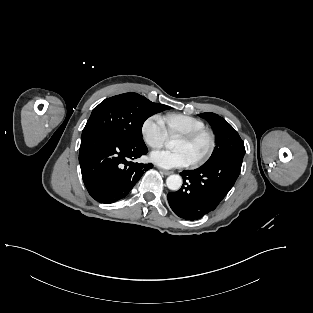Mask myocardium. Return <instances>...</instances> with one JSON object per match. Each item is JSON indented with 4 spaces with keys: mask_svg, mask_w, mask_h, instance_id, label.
<instances>
[{
    "mask_svg": "<svg viewBox=\"0 0 313 313\" xmlns=\"http://www.w3.org/2000/svg\"><path fill=\"white\" fill-rule=\"evenodd\" d=\"M204 136L208 138V141H209L208 148L201 156H199L197 159L191 162L192 167H197V166L202 165L213 154L215 147H216L215 135L211 130L204 128V129H200L191 133L182 134L179 136L180 139L189 143L194 142Z\"/></svg>",
    "mask_w": 313,
    "mask_h": 313,
    "instance_id": "1",
    "label": "myocardium"
}]
</instances>
